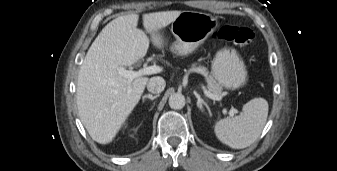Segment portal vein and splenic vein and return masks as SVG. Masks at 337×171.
I'll list each match as a JSON object with an SVG mask.
<instances>
[{"label":"portal vein and splenic vein","mask_w":337,"mask_h":171,"mask_svg":"<svg viewBox=\"0 0 337 171\" xmlns=\"http://www.w3.org/2000/svg\"><path fill=\"white\" fill-rule=\"evenodd\" d=\"M118 73L125 77L128 81V83L130 84L135 78L144 76V75H152V74H156V73H160L162 71V68L160 66H144L143 68L139 69L138 71H133V70H126L124 67H118L117 68ZM204 88V87H203ZM204 93L207 97L213 99V100H221V96L215 95L209 91H207L204 88ZM236 113V109L232 108L229 111V115L231 117L234 116V114Z\"/></svg>","instance_id":"18ae733b"}]
</instances>
